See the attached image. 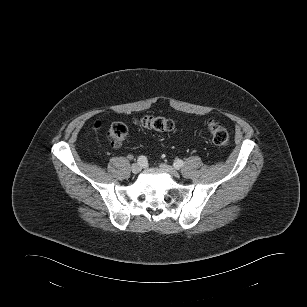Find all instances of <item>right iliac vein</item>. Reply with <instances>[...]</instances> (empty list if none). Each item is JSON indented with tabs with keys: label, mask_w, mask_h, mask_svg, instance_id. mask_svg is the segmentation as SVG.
Masks as SVG:
<instances>
[{
	"label": "right iliac vein",
	"mask_w": 307,
	"mask_h": 307,
	"mask_svg": "<svg viewBox=\"0 0 307 307\" xmlns=\"http://www.w3.org/2000/svg\"><path fill=\"white\" fill-rule=\"evenodd\" d=\"M141 169H142V166L139 163H134L131 166V171L133 174H138L141 171Z\"/></svg>",
	"instance_id": "1"
}]
</instances>
